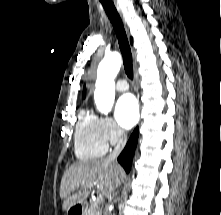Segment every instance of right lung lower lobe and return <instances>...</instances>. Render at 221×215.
<instances>
[{
	"mask_svg": "<svg viewBox=\"0 0 221 215\" xmlns=\"http://www.w3.org/2000/svg\"><path fill=\"white\" fill-rule=\"evenodd\" d=\"M138 139V129L136 128L131 135L126 147L118 157V162L122 165L125 171L128 173L131 168L132 158L135 152Z\"/></svg>",
	"mask_w": 221,
	"mask_h": 215,
	"instance_id": "right-lung-lower-lobe-1",
	"label": "right lung lower lobe"
}]
</instances>
